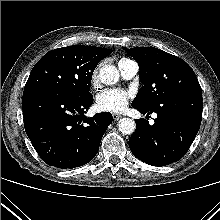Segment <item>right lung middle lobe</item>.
Returning <instances> with one entry per match:
<instances>
[{
  "label": "right lung middle lobe",
  "instance_id": "right-lung-middle-lobe-1",
  "mask_svg": "<svg viewBox=\"0 0 220 220\" xmlns=\"http://www.w3.org/2000/svg\"><path fill=\"white\" fill-rule=\"evenodd\" d=\"M100 61L77 45L52 50L33 67L25 89L47 88L76 97L88 96L92 73Z\"/></svg>",
  "mask_w": 220,
  "mask_h": 220
}]
</instances>
